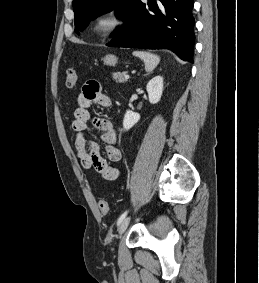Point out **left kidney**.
I'll use <instances>...</instances> for the list:
<instances>
[{
    "mask_svg": "<svg viewBox=\"0 0 259 283\" xmlns=\"http://www.w3.org/2000/svg\"><path fill=\"white\" fill-rule=\"evenodd\" d=\"M149 102L151 104H156L160 101L163 92V78L161 76H156L152 78L146 86ZM140 120V115L132 111H126L123 119L124 130H129Z\"/></svg>",
    "mask_w": 259,
    "mask_h": 283,
    "instance_id": "5707ae66",
    "label": "left kidney"
}]
</instances>
